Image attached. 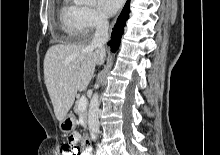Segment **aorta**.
I'll return each instance as SVG.
<instances>
[{
  "label": "aorta",
  "mask_w": 220,
  "mask_h": 155,
  "mask_svg": "<svg viewBox=\"0 0 220 155\" xmlns=\"http://www.w3.org/2000/svg\"><path fill=\"white\" fill-rule=\"evenodd\" d=\"M81 3L86 5H92L96 0H80ZM99 94L95 92L90 100L89 112H88V126L92 134L99 132Z\"/></svg>",
  "instance_id": "1"
}]
</instances>
